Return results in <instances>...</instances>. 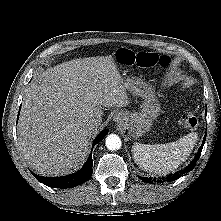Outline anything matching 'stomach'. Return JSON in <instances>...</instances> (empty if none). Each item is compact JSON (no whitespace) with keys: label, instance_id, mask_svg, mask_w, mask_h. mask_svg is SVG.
I'll use <instances>...</instances> for the list:
<instances>
[{"label":"stomach","instance_id":"0dacf381","mask_svg":"<svg viewBox=\"0 0 221 221\" xmlns=\"http://www.w3.org/2000/svg\"><path fill=\"white\" fill-rule=\"evenodd\" d=\"M124 83L128 85V91L144 99L141 111L125 113L126 119L123 123V127L129 131L131 136L139 138L151 129L153 120L161 111L160 104L153 89L142 80L126 76Z\"/></svg>","mask_w":221,"mask_h":221}]
</instances>
